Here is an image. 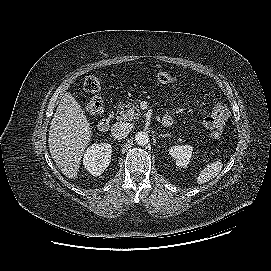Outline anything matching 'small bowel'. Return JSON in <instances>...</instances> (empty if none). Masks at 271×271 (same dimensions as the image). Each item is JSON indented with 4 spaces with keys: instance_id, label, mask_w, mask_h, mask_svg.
Listing matches in <instances>:
<instances>
[{
    "instance_id": "obj_1",
    "label": "small bowel",
    "mask_w": 271,
    "mask_h": 271,
    "mask_svg": "<svg viewBox=\"0 0 271 271\" xmlns=\"http://www.w3.org/2000/svg\"><path fill=\"white\" fill-rule=\"evenodd\" d=\"M228 116V108L224 104L217 102L213 105L211 112L204 117L203 125L210 129H220L225 124ZM164 118L170 119L172 124L173 117L171 115L166 114Z\"/></svg>"
}]
</instances>
